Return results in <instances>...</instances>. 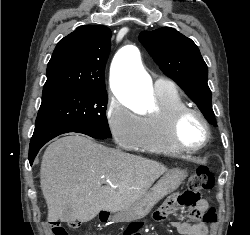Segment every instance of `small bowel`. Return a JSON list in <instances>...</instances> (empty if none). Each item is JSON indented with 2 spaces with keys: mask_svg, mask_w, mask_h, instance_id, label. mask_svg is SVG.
<instances>
[{
  "mask_svg": "<svg viewBox=\"0 0 250 235\" xmlns=\"http://www.w3.org/2000/svg\"><path fill=\"white\" fill-rule=\"evenodd\" d=\"M179 205L183 206L182 203L179 202ZM174 200H168L165 205L154 214V220L161 222L164 221L170 211L173 209ZM208 207V202L205 199H202L198 202V204L194 207V213H203ZM194 223L188 222H173L174 228L181 235H209V227L206 223L202 222L199 219V216L194 217ZM136 230H130L126 235H137Z\"/></svg>",
  "mask_w": 250,
  "mask_h": 235,
  "instance_id": "c3829d8e",
  "label": "small bowel"
}]
</instances>
